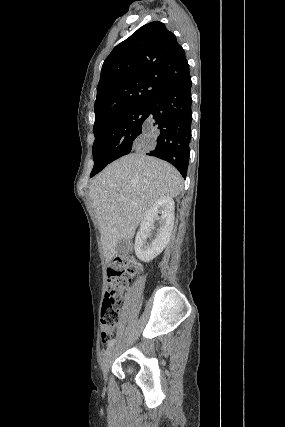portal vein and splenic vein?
<instances>
[{
  "label": "portal vein and splenic vein",
  "mask_w": 285,
  "mask_h": 427,
  "mask_svg": "<svg viewBox=\"0 0 285 427\" xmlns=\"http://www.w3.org/2000/svg\"><path fill=\"white\" fill-rule=\"evenodd\" d=\"M120 199H121L122 201H125V200H126V198H125V197H123V196H122Z\"/></svg>",
  "instance_id": "18ae733b"
}]
</instances>
